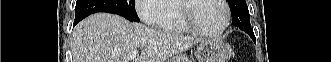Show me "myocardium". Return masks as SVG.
I'll list each match as a JSON object with an SVG mask.
<instances>
[{
    "label": "myocardium",
    "instance_id": "f54148a6",
    "mask_svg": "<svg viewBox=\"0 0 331 62\" xmlns=\"http://www.w3.org/2000/svg\"><path fill=\"white\" fill-rule=\"evenodd\" d=\"M193 1H195V0H179L178 1L180 18H181L183 25L188 29V31H190L194 34L200 35V36H204V37H218L227 30L229 23H230V10H229V7H228V4L226 1L217 0L224 9V22H223V25L221 26V28L216 31L204 30L196 24V22L193 20V18L190 15V12H189Z\"/></svg>",
    "mask_w": 331,
    "mask_h": 62
}]
</instances>
